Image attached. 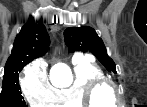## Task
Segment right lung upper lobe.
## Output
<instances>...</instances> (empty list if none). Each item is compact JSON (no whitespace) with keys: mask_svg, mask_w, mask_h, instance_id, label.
<instances>
[{"mask_svg":"<svg viewBox=\"0 0 147 107\" xmlns=\"http://www.w3.org/2000/svg\"><path fill=\"white\" fill-rule=\"evenodd\" d=\"M49 44V36L43 23L29 20L15 38L13 50L5 65L4 77L19 72L22 63L45 55Z\"/></svg>","mask_w":147,"mask_h":107,"instance_id":"1","label":"right lung upper lobe"}]
</instances>
